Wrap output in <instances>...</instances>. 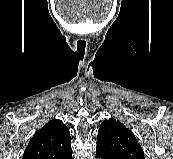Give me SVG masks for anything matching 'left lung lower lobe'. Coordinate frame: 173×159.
<instances>
[{"label":"left lung lower lobe","mask_w":173,"mask_h":159,"mask_svg":"<svg viewBox=\"0 0 173 159\" xmlns=\"http://www.w3.org/2000/svg\"><path fill=\"white\" fill-rule=\"evenodd\" d=\"M96 156L97 158L101 159H116L115 157L108 155L107 153L98 148H96Z\"/></svg>","instance_id":"1"}]
</instances>
